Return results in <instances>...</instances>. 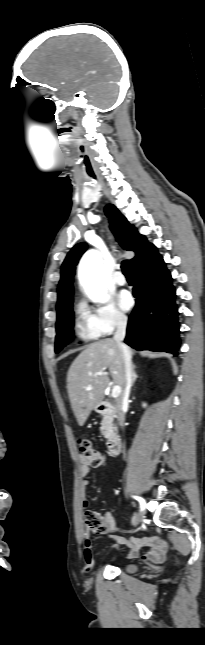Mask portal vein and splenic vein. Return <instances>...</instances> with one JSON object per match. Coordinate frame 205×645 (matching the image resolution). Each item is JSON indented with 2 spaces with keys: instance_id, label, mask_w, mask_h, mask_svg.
Segmentation results:
<instances>
[{
  "instance_id": "18ae733b",
  "label": "portal vein and splenic vein",
  "mask_w": 205,
  "mask_h": 645,
  "mask_svg": "<svg viewBox=\"0 0 205 645\" xmlns=\"http://www.w3.org/2000/svg\"><path fill=\"white\" fill-rule=\"evenodd\" d=\"M97 375H99V376L108 375V372L100 371V372L97 373ZM87 389H91V387H87ZM120 394H121V387L120 386H114L113 389H112L111 396L113 398H117V397H119Z\"/></svg>"
}]
</instances>
